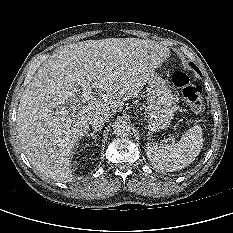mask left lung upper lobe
<instances>
[{
    "label": "left lung upper lobe",
    "instance_id": "obj_1",
    "mask_svg": "<svg viewBox=\"0 0 233 233\" xmlns=\"http://www.w3.org/2000/svg\"><path fill=\"white\" fill-rule=\"evenodd\" d=\"M191 66L201 75V73H200V71H199V69H198V67L196 65L191 64Z\"/></svg>",
    "mask_w": 233,
    "mask_h": 233
}]
</instances>
